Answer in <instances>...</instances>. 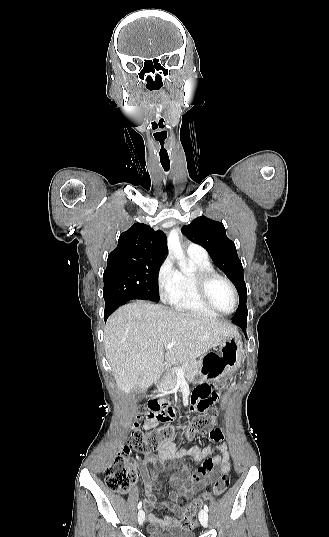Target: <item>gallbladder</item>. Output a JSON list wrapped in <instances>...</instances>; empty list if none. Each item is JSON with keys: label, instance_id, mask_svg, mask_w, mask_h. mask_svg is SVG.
<instances>
[{"label": "gallbladder", "instance_id": "1", "mask_svg": "<svg viewBox=\"0 0 329 537\" xmlns=\"http://www.w3.org/2000/svg\"><path fill=\"white\" fill-rule=\"evenodd\" d=\"M131 394L132 395L138 394V389H136V387L134 389H132Z\"/></svg>", "mask_w": 329, "mask_h": 537}]
</instances>
